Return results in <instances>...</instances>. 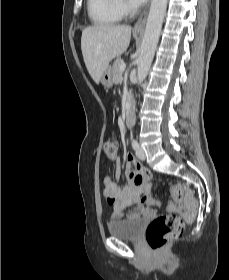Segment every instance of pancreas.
I'll list each match as a JSON object with an SVG mask.
<instances>
[{
    "mask_svg": "<svg viewBox=\"0 0 229 280\" xmlns=\"http://www.w3.org/2000/svg\"><path fill=\"white\" fill-rule=\"evenodd\" d=\"M123 63V60L121 58H117L112 66V72H113V81L115 84H118L122 79V71L120 70V66Z\"/></svg>",
    "mask_w": 229,
    "mask_h": 280,
    "instance_id": "cf45deb5",
    "label": "pancreas"
}]
</instances>
